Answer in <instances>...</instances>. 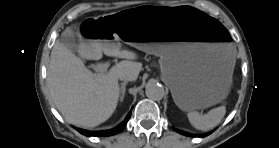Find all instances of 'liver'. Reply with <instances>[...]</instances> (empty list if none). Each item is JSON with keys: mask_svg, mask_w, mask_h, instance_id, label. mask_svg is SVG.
<instances>
[{"mask_svg": "<svg viewBox=\"0 0 279 148\" xmlns=\"http://www.w3.org/2000/svg\"><path fill=\"white\" fill-rule=\"evenodd\" d=\"M65 31L74 34L71 28ZM80 44L74 55L60 41L52 48L47 69L50 97L65 120L73 125L93 128L108 120L114 113L120 94L118 79L121 76L135 81L142 69L137 55L120 46L104 47L86 42L77 33ZM107 56L126 59L114 65L106 74L92 73L84 65L86 60H100Z\"/></svg>", "mask_w": 279, "mask_h": 148, "instance_id": "obj_1", "label": "liver"}]
</instances>
